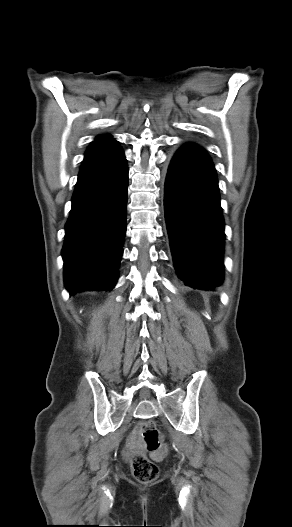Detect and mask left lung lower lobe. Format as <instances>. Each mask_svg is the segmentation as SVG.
<instances>
[{
	"label": "left lung lower lobe",
	"mask_w": 292,
	"mask_h": 527,
	"mask_svg": "<svg viewBox=\"0 0 292 527\" xmlns=\"http://www.w3.org/2000/svg\"><path fill=\"white\" fill-rule=\"evenodd\" d=\"M164 208L178 276L201 290L223 277L224 220L214 165L196 144L173 156L165 181Z\"/></svg>",
	"instance_id": "0a47b994"
}]
</instances>
